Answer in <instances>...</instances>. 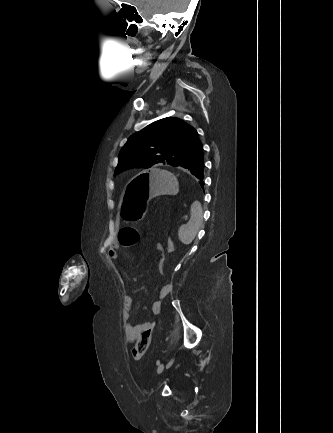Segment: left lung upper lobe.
<instances>
[{
  "instance_id": "1",
  "label": "left lung upper lobe",
  "mask_w": 333,
  "mask_h": 433,
  "mask_svg": "<svg viewBox=\"0 0 333 433\" xmlns=\"http://www.w3.org/2000/svg\"><path fill=\"white\" fill-rule=\"evenodd\" d=\"M197 131L183 120L167 117L132 135L119 154L115 174L133 167L155 164L180 165L199 150Z\"/></svg>"
}]
</instances>
